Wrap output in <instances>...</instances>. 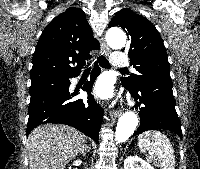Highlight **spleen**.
<instances>
[{
	"label": "spleen",
	"instance_id": "3e777b00",
	"mask_svg": "<svg viewBox=\"0 0 200 169\" xmlns=\"http://www.w3.org/2000/svg\"><path fill=\"white\" fill-rule=\"evenodd\" d=\"M141 152L149 153V160L159 163L161 169H175L174 150L170 140L161 132L148 130L138 137Z\"/></svg>",
	"mask_w": 200,
	"mask_h": 169
}]
</instances>
